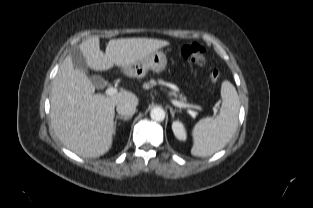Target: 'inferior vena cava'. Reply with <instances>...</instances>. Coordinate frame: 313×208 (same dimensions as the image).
Masks as SVG:
<instances>
[{
    "label": "inferior vena cava",
    "instance_id": "602c4592",
    "mask_svg": "<svg viewBox=\"0 0 313 208\" xmlns=\"http://www.w3.org/2000/svg\"><path fill=\"white\" fill-rule=\"evenodd\" d=\"M116 110L119 115L132 116L136 111V105L131 102H120L117 104Z\"/></svg>",
    "mask_w": 313,
    "mask_h": 208
}]
</instances>
